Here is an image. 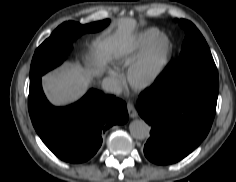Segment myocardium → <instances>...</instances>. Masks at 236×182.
I'll return each instance as SVG.
<instances>
[{
	"label": "myocardium",
	"instance_id": "myocardium-1",
	"mask_svg": "<svg viewBox=\"0 0 236 182\" xmlns=\"http://www.w3.org/2000/svg\"><path fill=\"white\" fill-rule=\"evenodd\" d=\"M162 40L167 42L164 54L147 73H144V68L149 65L156 46ZM172 50L173 46L167 35L160 34L156 36L145 52L129 67L127 72L129 83L139 90L146 89L156 83L169 64Z\"/></svg>",
	"mask_w": 236,
	"mask_h": 182
}]
</instances>
